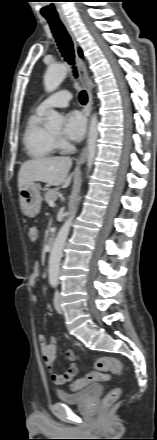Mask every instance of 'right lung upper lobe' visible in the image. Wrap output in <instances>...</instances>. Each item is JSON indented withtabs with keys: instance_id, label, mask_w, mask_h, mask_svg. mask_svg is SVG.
<instances>
[{
	"instance_id": "obj_1",
	"label": "right lung upper lobe",
	"mask_w": 157,
	"mask_h": 440,
	"mask_svg": "<svg viewBox=\"0 0 157 440\" xmlns=\"http://www.w3.org/2000/svg\"><path fill=\"white\" fill-rule=\"evenodd\" d=\"M79 54H80V56H82V52H81V50H79Z\"/></svg>"
}]
</instances>
